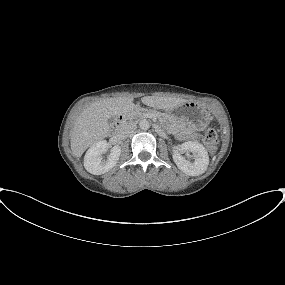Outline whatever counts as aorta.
Wrapping results in <instances>:
<instances>
[{
    "label": "aorta",
    "mask_w": 285,
    "mask_h": 285,
    "mask_svg": "<svg viewBox=\"0 0 285 285\" xmlns=\"http://www.w3.org/2000/svg\"><path fill=\"white\" fill-rule=\"evenodd\" d=\"M139 127L142 129V130H148L150 128V123L148 120L146 119H143L139 122Z\"/></svg>",
    "instance_id": "1"
}]
</instances>
